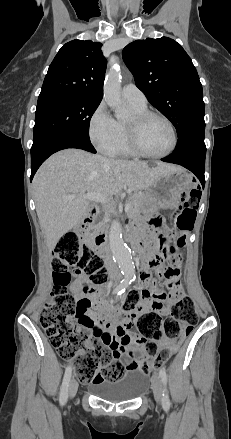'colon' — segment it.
I'll list each match as a JSON object with an SVG mask.
<instances>
[{
	"label": "colon",
	"mask_w": 231,
	"mask_h": 439,
	"mask_svg": "<svg viewBox=\"0 0 231 439\" xmlns=\"http://www.w3.org/2000/svg\"><path fill=\"white\" fill-rule=\"evenodd\" d=\"M184 203L174 217V224L181 233L178 241L184 243L185 233L194 227L200 194L191 190L182 194ZM154 219L153 221H156ZM176 250L169 246L164 252L165 258H174ZM53 280L55 290L51 300L40 312V324L51 345L65 361H71L81 381H117L126 369L139 368L149 373L167 362L175 348L170 346L160 350L158 343L164 340L178 343L188 336L197 323L195 306L190 296L184 295L173 305L167 316L156 311L141 314L136 327L145 345L147 358H139L126 364L115 356L111 350L99 343H92L93 333L85 323L82 315L90 303L77 299L68 289L71 272L83 277L82 289L86 293L94 292L107 281V270L102 258L86 246L76 233H67L58 241L53 253ZM166 279L172 276L167 267L161 271ZM147 281V277L143 276ZM141 293L130 291L124 302L125 312L132 313L141 301ZM85 353H81L83 348Z\"/></svg>",
	"instance_id": "colon-1"
}]
</instances>
